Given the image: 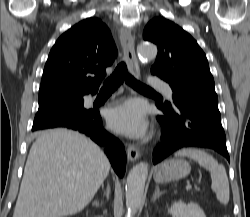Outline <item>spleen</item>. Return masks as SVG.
I'll use <instances>...</instances> for the list:
<instances>
[{
  "instance_id": "1",
  "label": "spleen",
  "mask_w": 250,
  "mask_h": 217,
  "mask_svg": "<svg viewBox=\"0 0 250 217\" xmlns=\"http://www.w3.org/2000/svg\"><path fill=\"white\" fill-rule=\"evenodd\" d=\"M175 156H187L202 167L211 172V188L216 193L218 201L224 205L229 202V182L226 170L223 165L219 164L211 155L204 150L196 148L181 149L175 153Z\"/></svg>"
}]
</instances>
